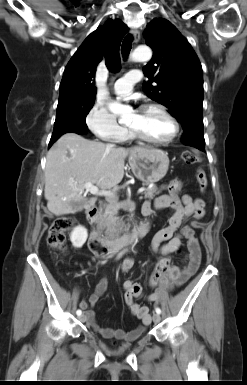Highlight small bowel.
I'll list each match as a JSON object with an SVG mask.
<instances>
[{
	"label": "small bowel",
	"mask_w": 247,
	"mask_h": 385,
	"mask_svg": "<svg viewBox=\"0 0 247 385\" xmlns=\"http://www.w3.org/2000/svg\"><path fill=\"white\" fill-rule=\"evenodd\" d=\"M182 182L176 180L165 188L168 194L158 196L153 202H146L143 205V214L152 215L156 210L170 208L172 215L166 227L160 229L152 239V250L161 255L159 263L168 260L170 267L167 273L157 274L156 269L150 280V285L155 286L156 290L146 296L149 302L158 303L160 297L174 287L183 285L197 271L201 261V250L198 239L195 236V228L200 227L199 220L205 214V202L201 198H194L190 195H180ZM193 219L190 225L186 223ZM182 239L187 242L186 262L182 267L172 265L169 255L175 252L181 245ZM134 265V260L128 258L121 264V271L127 272ZM158 265V264H157ZM157 267V266H156ZM134 284L138 288V293H133L128 286ZM108 287V279L103 277L97 283L94 292L88 299L80 302V307L84 310L85 321L96 332L104 338L116 339L126 342L138 339L151 324V315L149 308L135 302V297L143 294L139 284L127 281L124 283V299L130 312L140 321V325L131 331L101 327L95 317L94 305L103 296Z\"/></svg>",
	"instance_id": "1"
}]
</instances>
